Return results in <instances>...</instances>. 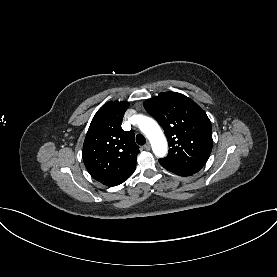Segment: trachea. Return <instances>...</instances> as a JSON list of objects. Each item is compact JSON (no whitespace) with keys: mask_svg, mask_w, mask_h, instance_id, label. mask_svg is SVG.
<instances>
[{"mask_svg":"<svg viewBox=\"0 0 277 277\" xmlns=\"http://www.w3.org/2000/svg\"><path fill=\"white\" fill-rule=\"evenodd\" d=\"M136 142L138 145H144L146 143V139L142 134H137Z\"/></svg>","mask_w":277,"mask_h":277,"instance_id":"trachea-1","label":"trachea"}]
</instances>
